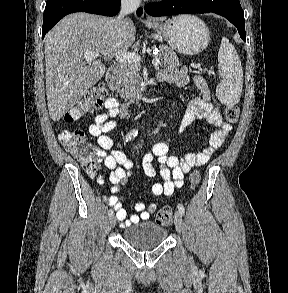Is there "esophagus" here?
Listing matches in <instances>:
<instances>
[{
	"label": "esophagus",
	"instance_id": "esophagus-1",
	"mask_svg": "<svg viewBox=\"0 0 288 293\" xmlns=\"http://www.w3.org/2000/svg\"><path fill=\"white\" fill-rule=\"evenodd\" d=\"M147 21H148V22H152L153 19H152L151 17L148 16V17H147Z\"/></svg>",
	"mask_w": 288,
	"mask_h": 293
}]
</instances>
